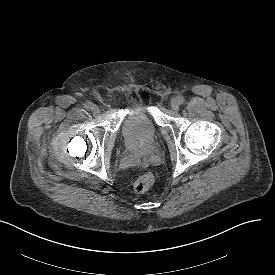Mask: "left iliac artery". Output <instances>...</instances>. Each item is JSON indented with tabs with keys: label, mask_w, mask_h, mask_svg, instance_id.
Masks as SVG:
<instances>
[{
	"label": "left iliac artery",
	"mask_w": 275,
	"mask_h": 275,
	"mask_svg": "<svg viewBox=\"0 0 275 275\" xmlns=\"http://www.w3.org/2000/svg\"><path fill=\"white\" fill-rule=\"evenodd\" d=\"M177 100H178L179 104H183L185 101L183 96H177Z\"/></svg>",
	"instance_id": "obj_1"
}]
</instances>
